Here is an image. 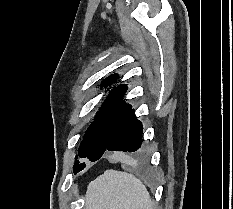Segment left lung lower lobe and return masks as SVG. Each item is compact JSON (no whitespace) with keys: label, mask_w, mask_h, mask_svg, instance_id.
Wrapping results in <instances>:
<instances>
[{"label":"left lung lower lobe","mask_w":233,"mask_h":209,"mask_svg":"<svg viewBox=\"0 0 233 209\" xmlns=\"http://www.w3.org/2000/svg\"><path fill=\"white\" fill-rule=\"evenodd\" d=\"M142 124L136 118L133 109L127 113L123 120L115 128L106 147V151H129L135 152L140 148L142 142ZM92 162L97 161L98 157H88ZM85 168V164H78L74 168V174Z\"/></svg>","instance_id":"0a47b994"}]
</instances>
